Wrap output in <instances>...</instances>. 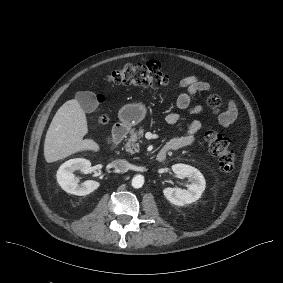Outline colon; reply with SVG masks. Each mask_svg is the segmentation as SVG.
I'll return each mask as SVG.
<instances>
[{"label":"colon","instance_id":"5ec220e1","mask_svg":"<svg viewBox=\"0 0 283 283\" xmlns=\"http://www.w3.org/2000/svg\"><path fill=\"white\" fill-rule=\"evenodd\" d=\"M107 79L116 85L153 88L167 86L171 82L169 75L157 61H149L145 64H126L110 72ZM207 103L213 110H218L222 99L217 94H211ZM95 121L103 124L106 119L100 115L95 117ZM204 138L209 151L217 159L220 169L223 172H231L235 167L237 157L230 148L228 137L209 129L205 132Z\"/></svg>","mask_w":283,"mask_h":283}]
</instances>
